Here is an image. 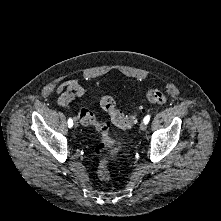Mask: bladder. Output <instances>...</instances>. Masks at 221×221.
Instances as JSON below:
<instances>
[{
  "label": "bladder",
  "instance_id": "31cf9c89",
  "mask_svg": "<svg viewBox=\"0 0 221 221\" xmlns=\"http://www.w3.org/2000/svg\"><path fill=\"white\" fill-rule=\"evenodd\" d=\"M123 152H124V144L123 142L119 141L112 153V159L120 157L123 154Z\"/></svg>",
  "mask_w": 221,
  "mask_h": 221
}]
</instances>
